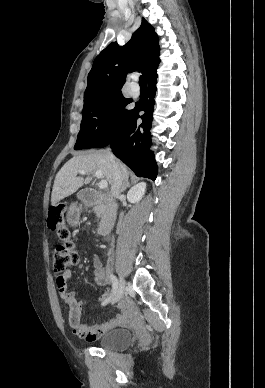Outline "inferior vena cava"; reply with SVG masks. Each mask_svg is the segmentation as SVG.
<instances>
[{
  "label": "inferior vena cava",
  "mask_w": 265,
  "mask_h": 388,
  "mask_svg": "<svg viewBox=\"0 0 265 388\" xmlns=\"http://www.w3.org/2000/svg\"><path fill=\"white\" fill-rule=\"evenodd\" d=\"M109 156L113 164V184H111V192L114 198H119L123 186V178L117 164H115L114 156L111 152H109Z\"/></svg>",
  "instance_id": "602c4592"
}]
</instances>
